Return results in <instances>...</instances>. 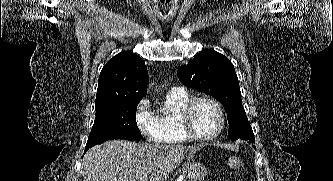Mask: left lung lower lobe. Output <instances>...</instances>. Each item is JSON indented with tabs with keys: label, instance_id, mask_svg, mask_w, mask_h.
Segmentation results:
<instances>
[{
	"label": "left lung lower lobe",
	"instance_id": "obj_1",
	"mask_svg": "<svg viewBox=\"0 0 333 181\" xmlns=\"http://www.w3.org/2000/svg\"><path fill=\"white\" fill-rule=\"evenodd\" d=\"M240 139L248 140L247 138H240ZM249 143H251L253 145L255 142L249 141Z\"/></svg>",
	"mask_w": 333,
	"mask_h": 181
}]
</instances>
